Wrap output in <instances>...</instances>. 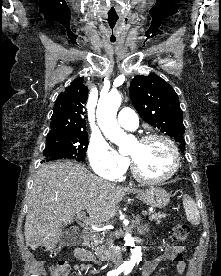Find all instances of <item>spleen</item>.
Instances as JSON below:
<instances>
[{
	"mask_svg": "<svg viewBox=\"0 0 221 276\" xmlns=\"http://www.w3.org/2000/svg\"><path fill=\"white\" fill-rule=\"evenodd\" d=\"M183 206L185 209L187 220L192 225L200 224V214L198 211L197 204L195 201L187 194L183 196Z\"/></svg>",
	"mask_w": 221,
	"mask_h": 276,
	"instance_id": "1",
	"label": "spleen"
}]
</instances>
